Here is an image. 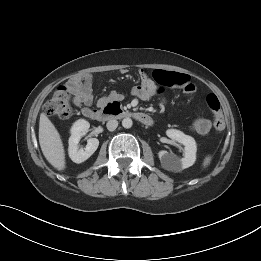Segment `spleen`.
I'll use <instances>...</instances> for the list:
<instances>
[{"label": "spleen", "instance_id": "obj_1", "mask_svg": "<svg viewBox=\"0 0 261 261\" xmlns=\"http://www.w3.org/2000/svg\"><path fill=\"white\" fill-rule=\"evenodd\" d=\"M212 157L210 155L206 156L204 161H203V166L207 167L211 163Z\"/></svg>", "mask_w": 261, "mask_h": 261}]
</instances>
